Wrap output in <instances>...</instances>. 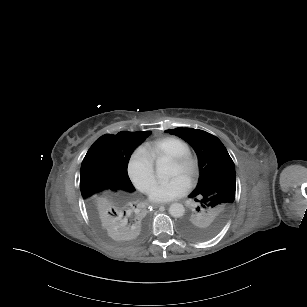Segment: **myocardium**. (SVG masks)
Returning a JSON list of instances; mask_svg holds the SVG:
<instances>
[{
  "instance_id": "obj_1",
  "label": "myocardium",
  "mask_w": 307,
  "mask_h": 307,
  "mask_svg": "<svg viewBox=\"0 0 307 307\" xmlns=\"http://www.w3.org/2000/svg\"><path fill=\"white\" fill-rule=\"evenodd\" d=\"M169 158L182 169L184 173L183 177L189 182L195 181L203 172V156L196 148L190 147L189 149L177 155H172ZM189 163L193 164L191 168H188Z\"/></svg>"
}]
</instances>
